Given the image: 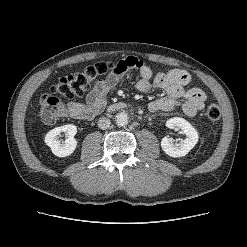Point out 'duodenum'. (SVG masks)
<instances>
[{"mask_svg": "<svg viewBox=\"0 0 247 247\" xmlns=\"http://www.w3.org/2000/svg\"><path fill=\"white\" fill-rule=\"evenodd\" d=\"M126 107V104L124 103H116V104H112L108 107L109 111H116V110H120Z\"/></svg>", "mask_w": 247, "mask_h": 247, "instance_id": "duodenum-1", "label": "duodenum"}]
</instances>
